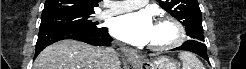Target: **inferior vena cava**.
I'll return each mask as SVG.
<instances>
[{
	"label": "inferior vena cava",
	"instance_id": "1",
	"mask_svg": "<svg viewBox=\"0 0 246 69\" xmlns=\"http://www.w3.org/2000/svg\"><path fill=\"white\" fill-rule=\"evenodd\" d=\"M109 52V61L111 64H116L119 60L116 50L112 47L108 49ZM115 67H110V69H114Z\"/></svg>",
	"mask_w": 246,
	"mask_h": 69
}]
</instances>
